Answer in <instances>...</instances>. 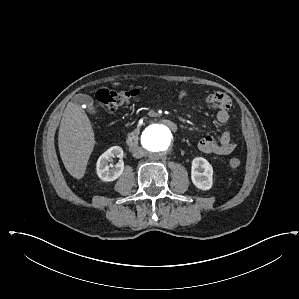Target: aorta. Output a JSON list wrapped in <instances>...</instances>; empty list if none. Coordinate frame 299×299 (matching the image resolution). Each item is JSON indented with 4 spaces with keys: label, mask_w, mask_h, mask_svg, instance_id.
<instances>
[{
    "label": "aorta",
    "mask_w": 299,
    "mask_h": 299,
    "mask_svg": "<svg viewBox=\"0 0 299 299\" xmlns=\"http://www.w3.org/2000/svg\"><path fill=\"white\" fill-rule=\"evenodd\" d=\"M173 136L168 127L153 124L142 134V145L150 155H159L167 152L172 146Z\"/></svg>",
    "instance_id": "aorta-1"
}]
</instances>
